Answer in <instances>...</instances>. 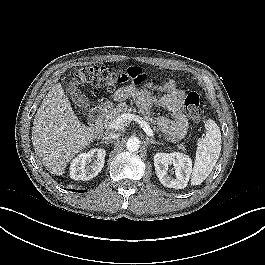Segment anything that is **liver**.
Wrapping results in <instances>:
<instances>
[{"label":"liver","mask_w":265,"mask_h":265,"mask_svg":"<svg viewBox=\"0 0 265 265\" xmlns=\"http://www.w3.org/2000/svg\"><path fill=\"white\" fill-rule=\"evenodd\" d=\"M96 138L74 113L60 83L52 86L35 114L32 144L50 173L60 176L67 164Z\"/></svg>","instance_id":"obj_1"}]
</instances>
